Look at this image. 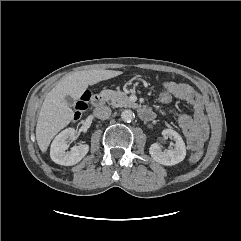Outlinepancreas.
<instances>
[{"instance_id": "cf45deb5", "label": "pancreas", "mask_w": 241, "mask_h": 241, "mask_svg": "<svg viewBox=\"0 0 241 241\" xmlns=\"http://www.w3.org/2000/svg\"><path fill=\"white\" fill-rule=\"evenodd\" d=\"M101 96L109 103V105L114 107H130L132 105L129 97L120 90H103Z\"/></svg>"}]
</instances>
